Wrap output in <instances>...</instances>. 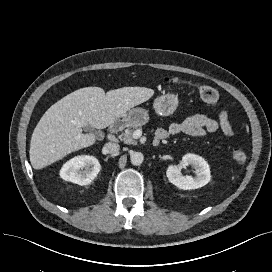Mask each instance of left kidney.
I'll return each instance as SVG.
<instances>
[{"label":"left kidney","instance_id":"1","mask_svg":"<svg viewBox=\"0 0 272 272\" xmlns=\"http://www.w3.org/2000/svg\"><path fill=\"white\" fill-rule=\"evenodd\" d=\"M184 165H191L195 169L196 176H183L176 165L167 168L166 175L168 180L179 189L192 190L198 189L211 180L210 168L208 163L199 155L188 153L182 157Z\"/></svg>","mask_w":272,"mask_h":272}]
</instances>
